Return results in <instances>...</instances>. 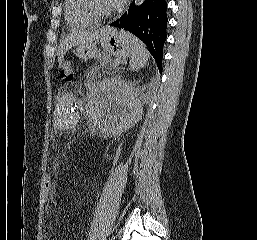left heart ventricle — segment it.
<instances>
[{"label": "left heart ventricle", "mask_w": 257, "mask_h": 240, "mask_svg": "<svg viewBox=\"0 0 257 240\" xmlns=\"http://www.w3.org/2000/svg\"><path fill=\"white\" fill-rule=\"evenodd\" d=\"M93 7L100 14L108 13L113 9L110 0H93Z\"/></svg>", "instance_id": "1"}]
</instances>
